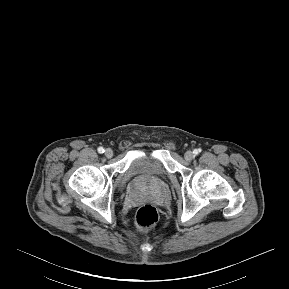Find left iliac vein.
Here are the masks:
<instances>
[{
    "mask_svg": "<svg viewBox=\"0 0 289 289\" xmlns=\"http://www.w3.org/2000/svg\"><path fill=\"white\" fill-rule=\"evenodd\" d=\"M184 158H185L187 161H191V160L194 158V155H193L192 151H187V152L184 154Z\"/></svg>",
    "mask_w": 289,
    "mask_h": 289,
    "instance_id": "4c4485c4",
    "label": "left iliac vein"
}]
</instances>
